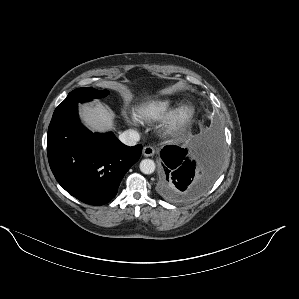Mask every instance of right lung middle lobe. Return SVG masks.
Listing matches in <instances>:
<instances>
[{
	"instance_id": "obj_1",
	"label": "right lung middle lobe",
	"mask_w": 299,
	"mask_h": 299,
	"mask_svg": "<svg viewBox=\"0 0 299 299\" xmlns=\"http://www.w3.org/2000/svg\"><path fill=\"white\" fill-rule=\"evenodd\" d=\"M108 94L109 91L107 90L99 91L91 87L75 89L70 92L66 99L55 109L54 114L77 105L79 102H86L92 100L93 98L105 97Z\"/></svg>"
}]
</instances>
